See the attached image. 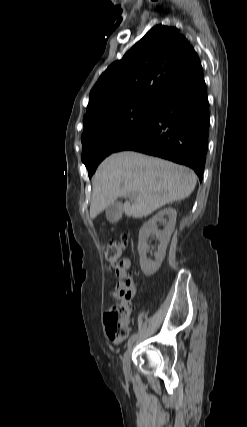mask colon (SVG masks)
Returning <instances> with one entry per match:
<instances>
[{
	"label": "colon",
	"mask_w": 247,
	"mask_h": 427,
	"mask_svg": "<svg viewBox=\"0 0 247 427\" xmlns=\"http://www.w3.org/2000/svg\"><path fill=\"white\" fill-rule=\"evenodd\" d=\"M126 248V241H109L102 250L105 259L115 264L118 262ZM129 300L118 301L104 315V323L109 339L114 343H120L126 339L129 333Z\"/></svg>",
	"instance_id": "5ec220e1"
}]
</instances>
